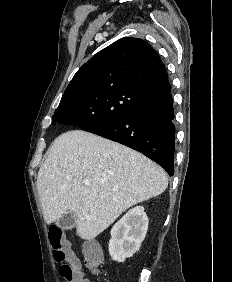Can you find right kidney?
<instances>
[{"mask_svg": "<svg viewBox=\"0 0 232 282\" xmlns=\"http://www.w3.org/2000/svg\"><path fill=\"white\" fill-rule=\"evenodd\" d=\"M148 230V217L144 207L130 209L112 228L109 254L118 262L136 253Z\"/></svg>", "mask_w": 232, "mask_h": 282, "instance_id": "right-kidney-1", "label": "right kidney"}]
</instances>
